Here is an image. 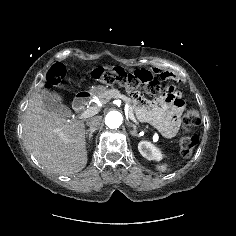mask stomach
Segmentation results:
<instances>
[{"mask_svg": "<svg viewBox=\"0 0 236 236\" xmlns=\"http://www.w3.org/2000/svg\"><path fill=\"white\" fill-rule=\"evenodd\" d=\"M104 91H106V88L104 86H93L92 89L87 92V93H78L77 94V98L79 97H87L89 95H100L102 94Z\"/></svg>", "mask_w": 236, "mask_h": 236, "instance_id": "0dacf381", "label": "stomach"}]
</instances>
